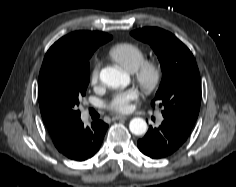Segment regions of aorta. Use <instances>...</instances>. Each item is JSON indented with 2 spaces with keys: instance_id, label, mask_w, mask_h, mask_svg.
I'll return each instance as SVG.
<instances>
[{
  "instance_id": "obj_1",
  "label": "aorta",
  "mask_w": 236,
  "mask_h": 187,
  "mask_svg": "<svg viewBox=\"0 0 236 187\" xmlns=\"http://www.w3.org/2000/svg\"><path fill=\"white\" fill-rule=\"evenodd\" d=\"M100 80L112 88L126 87L130 83L128 74L113 67L103 68L100 72ZM129 129L134 135H142L147 131V123L142 118H133Z\"/></svg>"
}]
</instances>
